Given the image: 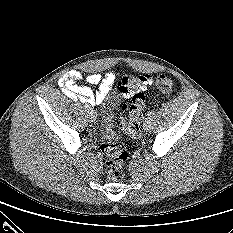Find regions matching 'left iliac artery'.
<instances>
[{
	"label": "left iliac artery",
	"mask_w": 233,
	"mask_h": 233,
	"mask_svg": "<svg viewBox=\"0 0 233 233\" xmlns=\"http://www.w3.org/2000/svg\"><path fill=\"white\" fill-rule=\"evenodd\" d=\"M147 115H148V117H153L154 111H149Z\"/></svg>",
	"instance_id": "obj_1"
}]
</instances>
